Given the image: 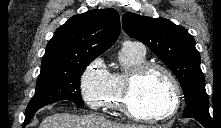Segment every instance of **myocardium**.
<instances>
[{
    "label": "myocardium",
    "mask_w": 221,
    "mask_h": 128,
    "mask_svg": "<svg viewBox=\"0 0 221 128\" xmlns=\"http://www.w3.org/2000/svg\"><path fill=\"white\" fill-rule=\"evenodd\" d=\"M159 70L165 74L169 80L171 86V101L167 109L159 114L148 115L136 111L131 103V99L134 93V89L138 82L150 71ZM181 103L180 87L177 82L175 75L164 65L154 62H144L139 66L132 69L124 81L122 91V103L121 108L123 113L130 119L135 121L153 122L158 123L165 121L166 119L173 116Z\"/></svg>",
    "instance_id": "obj_1"
}]
</instances>
